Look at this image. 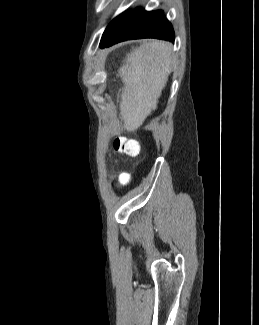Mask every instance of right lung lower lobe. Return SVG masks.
I'll return each mask as SVG.
<instances>
[{
  "label": "right lung lower lobe",
  "instance_id": "1",
  "mask_svg": "<svg viewBox=\"0 0 259 325\" xmlns=\"http://www.w3.org/2000/svg\"><path fill=\"white\" fill-rule=\"evenodd\" d=\"M139 38L174 41L175 34L171 23L162 10L149 12L137 8L132 13L127 12L112 35L100 43V47L105 48L121 41Z\"/></svg>",
  "mask_w": 259,
  "mask_h": 325
}]
</instances>
